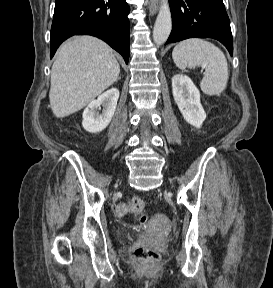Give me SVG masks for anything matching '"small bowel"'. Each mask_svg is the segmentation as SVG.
<instances>
[{
	"label": "small bowel",
	"instance_id": "1",
	"mask_svg": "<svg viewBox=\"0 0 273 288\" xmlns=\"http://www.w3.org/2000/svg\"><path fill=\"white\" fill-rule=\"evenodd\" d=\"M129 210L130 206L128 204L123 203L117 206L116 213L119 217H123L129 212Z\"/></svg>",
	"mask_w": 273,
	"mask_h": 288
}]
</instances>
